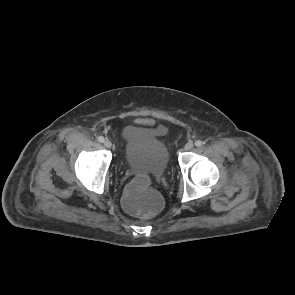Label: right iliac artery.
Segmentation results:
<instances>
[{"label":"right iliac artery","mask_w":295,"mask_h":295,"mask_svg":"<svg viewBox=\"0 0 295 295\" xmlns=\"http://www.w3.org/2000/svg\"><path fill=\"white\" fill-rule=\"evenodd\" d=\"M104 140H105V139H104V137H103V136H99V137H98V141H99V142L103 143V142H104Z\"/></svg>","instance_id":"obj_1"}]
</instances>
